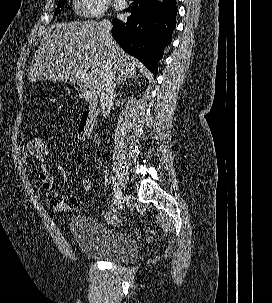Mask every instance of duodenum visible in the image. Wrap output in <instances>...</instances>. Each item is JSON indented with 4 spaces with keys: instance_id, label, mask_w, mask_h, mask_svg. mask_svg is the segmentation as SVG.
Instances as JSON below:
<instances>
[{
    "instance_id": "obj_1",
    "label": "duodenum",
    "mask_w": 272,
    "mask_h": 303,
    "mask_svg": "<svg viewBox=\"0 0 272 303\" xmlns=\"http://www.w3.org/2000/svg\"><path fill=\"white\" fill-rule=\"evenodd\" d=\"M69 82L75 86L77 90L80 92L82 91V86L76 82L75 80L70 79ZM94 113H95V104L93 102L87 103L82 111L80 122L77 128V137L80 140H85L89 127L92 123V120L94 118Z\"/></svg>"
}]
</instances>
